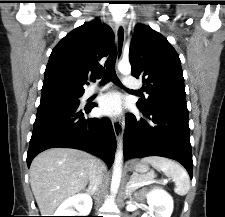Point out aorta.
Returning <instances> with one entry per match:
<instances>
[{
	"label": "aorta",
	"mask_w": 225,
	"mask_h": 217,
	"mask_svg": "<svg viewBox=\"0 0 225 217\" xmlns=\"http://www.w3.org/2000/svg\"><path fill=\"white\" fill-rule=\"evenodd\" d=\"M118 70L123 75H129L131 73V65L129 62L121 61L118 64ZM122 162H123V150L122 146L120 145L114 160V168H113V179L115 181H120L122 175Z\"/></svg>",
	"instance_id": "762f6f07"
}]
</instances>
